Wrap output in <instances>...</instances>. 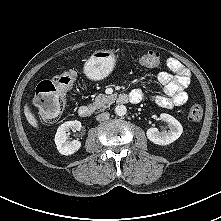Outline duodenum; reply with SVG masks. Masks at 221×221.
I'll return each instance as SVG.
<instances>
[{
	"label": "duodenum",
	"instance_id": "1",
	"mask_svg": "<svg viewBox=\"0 0 221 221\" xmlns=\"http://www.w3.org/2000/svg\"><path fill=\"white\" fill-rule=\"evenodd\" d=\"M117 102L120 104H126L128 102H137V99L128 94L122 93L118 95ZM94 112V107L90 105H83L78 109V114L81 118H88Z\"/></svg>",
	"mask_w": 221,
	"mask_h": 221
}]
</instances>
